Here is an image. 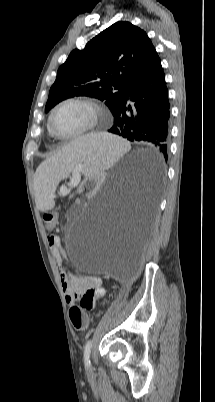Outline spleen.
Instances as JSON below:
<instances>
[{"mask_svg": "<svg viewBox=\"0 0 215 402\" xmlns=\"http://www.w3.org/2000/svg\"><path fill=\"white\" fill-rule=\"evenodd\" d=\"M129 149L127 141L100 133H87L69 143L54 157L44 161L37 171V209H56L57 204L51 194L58 182L67 178L71 172L94 175L98 169L109 168Z\"/></svg>", "mask_w": 215, "mask_h": 402, "instance_id": "obj_1", "label": "spleen"}]
</instances>
